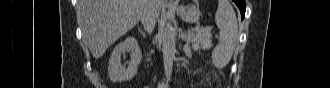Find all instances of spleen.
<instances>
[{
  "label": "spleen",
  "mask_w": 330,
  "mask_h": 88,
  "mask_svg": "<svg viewBox=\"0 0 330 88\" xmlns=\"http://www.w3.org/2000/svg\"><path fill=\"white\" fill-rule=\"evenodd\" d=\"M215 22L220 29V39L212 53V61L217 68H223L231 60L239 38L236 14L228 0H219Z\"/></svg>",
  "instance_id": "1"
}]
</instances>
